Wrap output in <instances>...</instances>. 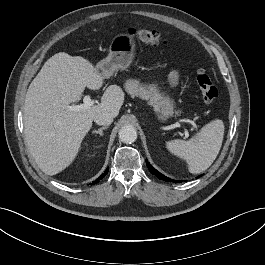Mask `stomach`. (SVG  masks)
Returning <instances> with one entry per match:
<instances>
[{
    "instance_id": "0dacf381",
    "label": "stomach",
    "mask_w": 265,
    "mask_h": 265,
    "mask_svg": "<svg viewBox=\"0 0 265 265\" xmlns=\"http://www.w3.org/2000/svg\"><path fill=\"white\" fill-rule=\"evenodd\" d=\"M135 41L127 34H120L113 38L109 46V54L95 66V69L104 77L109 78L117 70H125L134 58ZM154 88V87H153ZM152 98V104L158 113V118L166 121L173 115L175 102L165 93H159Z\"/></svg>"
}]
</instances>
